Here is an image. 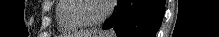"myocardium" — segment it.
<instances>
[{
    "instance_id": "f54148a6",
    "label": "myocardium",
    "mask_w": 219,
    "mask_h": 37,
    "mask_svg": "<svg viewBox=\"0 0 219 37\" xmlns=\"http://www.w3.org/2000/svg\"><path fill=\"white\" fill-rule=\"evenodd\" d=\"M84 1H90V0H74V7L72 11V15L76 21H78L83 27H96L104 23L110 13H111V2L105 1V9L103 14L96 20H88L82 16L81 9H82V3ZM102 1V0H101Z\"/></svg>"
}]
</instances>
